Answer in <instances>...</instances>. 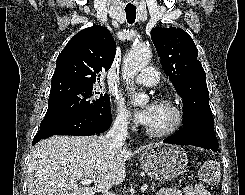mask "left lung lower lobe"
Segmentation results:
<instances>
[{
	"label": "left lung lower lobe",
	"mask_w": 245,
	"mask_h": 195,
	"mask_svg": "<svg viewBox=\"0 0 245 195\" xmlns=\"http://www.w3.org/2000/svg\"><path fill=\"white\" fill-rule=\"evenodd\" d=\"M163 142L178 145H194L220 152L214 133V125L202 122L185 123L177 134L166 138Z\"/></svg>",
	"instance_id": "obj_1"
}]
</instances>
